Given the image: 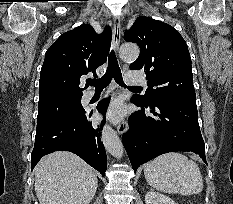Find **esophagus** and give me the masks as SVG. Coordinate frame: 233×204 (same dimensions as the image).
<instances>
[{
    "instance_id": "34e87169",
    "label": "esophagus",
    "mask_w": 233,
    "mask_h": 204,
    "mask_svg": "<svg viewBox=\"0 0 233 204\" xmlns=\"http://www.w3.org/2000/svg\"><path fill=\"white\" fill-rule=\"evenodd\" d=\"M122 23L119 16L113 18V46L116 52L119 50L120 41H121V32H122ZM128 129V124L126 121H121L117 125V132L123 134Z\"/></svg>"
}]
</instances>
